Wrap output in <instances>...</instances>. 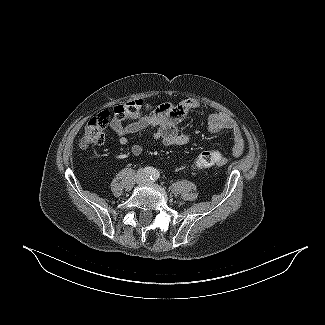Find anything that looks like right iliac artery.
<instances>
[{"instance_id":"right-iliac-artery-1","label":"right iliac artery","mask_w":325,"mask_h":325,"mask_svg":"<svg viewBox=\"0 0 325 325\" xmlns=\"http://www.w3.org/2000/svg\"><path fill=\"white\" fill-rule=\"evenodd\" d=\"M154 168H152V167H145L144 168V172L145 173H147L148 175H151L152 176V174L154 173Z\"/></svg>"}]
</instances>
